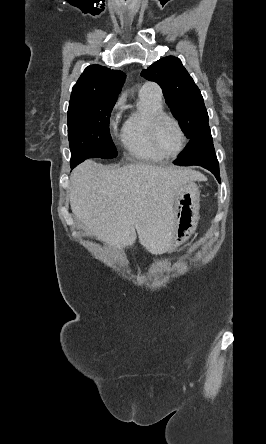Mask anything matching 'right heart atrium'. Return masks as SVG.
I'll return each instance as SVG.
<instances>
[{
    "label": "right heart atrium",
    "instance_id": "d8ad5b80",
    "mask_svg": "<svg viewBox=\"0 0 266 444\" xmlns=\"http://www.w3.org/2000/svg\"><path fill=\"white\" fill-rule=\"evenodd\" d=\"M122 104H123V99L121 98V99L118 100V102L115 105L114 112H113V114H112V116L110 118V121H109V127H110L111 132H113L115 130V127H116L115 113L122 106Z\"/></svg>",
    "mask_w": 266,
    "mask_h": 444
}]
</instances>
